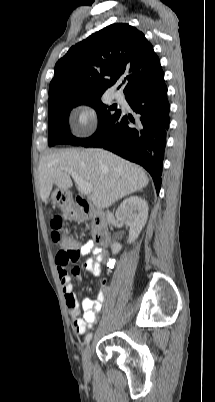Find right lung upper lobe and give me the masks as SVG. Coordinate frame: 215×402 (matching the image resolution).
I'll return each mask as SVG.
<instances>
[{
    "mask_svg": "<svg viewBox=\"0 0 215 402\" xmlns=\"http://www.w3.org/2000/svg\"><path fill=\"white\" fill-rule=\"evenodd\" d=\"M124 94L164 82L160 59L144 34L115 23L72 46L55 65L49 102L60 97L102 95L118 79Z\"/></svg>",
    "mask_w": 215,
    "mask_h": 402,
    "instance_id": "right-lung-upper-lobe-1",
    "label": "right lung upper lobe"
}]
</instances>
